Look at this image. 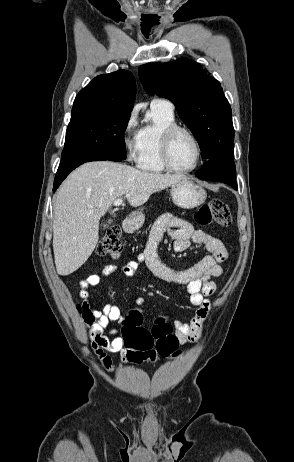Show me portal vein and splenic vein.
Listing matches in <instances>:
<instances>
[{"label": "portal vein and splenic vein", "mask_w": 294, "mask_h": 462, "mask_svg": "<svg viewBox=\"0 0 294 462\" xmlns=\"http://www.w3.org/2000/svg\"><path fill=\"white\" fill-rule=\"evenodd\" d=\"M122 202H123V200H122L121 198H119V199H116V200L114 201L113 205H114L115 207H118V206H120V205L122 204Z\"/></svg>", "instance_id": "18ae733b"}]
</instances>
